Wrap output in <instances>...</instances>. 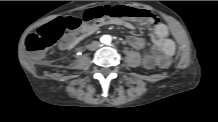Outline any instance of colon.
Here are the masks:
<instances>
[{
  "label": "colon",
  "instance_id": "colon-1",
  "mask_svg": "<svg viewBox=\"0 0 218 122\" xmlns=\"http://www.w3.org/2000/svg\"><path fill=\"white\" fill-rule=\"evenodd\" d=\"M136 18V23L143 28H151L155 18L150 11L144 7L128 6L127 4L104 3L98 6H89L81 11V20L91 23L93 20L106 18ZM80 25V21L74 15H65L57 20L48 22L47 27L40 29L37 35H29L25 39V48L31 53L52 47L58 40L74 31ZM172 55H167L158 60L160 70L171 67Z\"/></svg>",
  "mask_w": 218,
  "mask_h": 122
}]
</instances>
